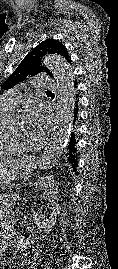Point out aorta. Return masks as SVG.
<instances>
[{"label": "aorta", "instance_id": "aorta-1", "mask_svg": "<svg viewBox=\"0 0 118 269\" xmlns=\"http://www.w3.org/2000/svg\"><path fill=\"white\" fill-rule=\"evenodd\" d=\"M57 80L58 111L54 129L46 146L41 162V169L53 166L61 157L68 142L75 106L74 74L67 62L57 55H48L43 59Z\"/></svg>", "mask_w": 118, "mask_h": 269}]
</instances>
